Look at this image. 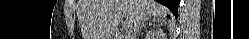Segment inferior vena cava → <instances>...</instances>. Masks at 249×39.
Masks as SVG:
<instances>
[{
  "instance_id": "obj_1",
  "label": "inferior vena cava",
  "mask_w": 249,
  "mask_h": 39,
  "mask_svg": "<svg viewBox=\"0 0 249 39\" xmlns=\"http://www.w3.org/2000/svg\"><path fill=\"white\" fill-rule=\"evenodd\" d=\"M143 17L142 16H137L134 23H133V26L131 27V29L128 30V34H129V39H135L136 38V35L138 33V30L141 26V22L143 21Z\"/></svg>"
}]
</instances>
